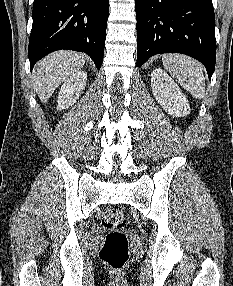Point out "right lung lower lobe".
I'll use <instances>...</instances> for the list:
<instances>
[{"mask_svg": "<svg viewBox=\"0 0 233 286\" xmlns=\"http://www.w3.org/2000/svg\"><path fill=\"white\" fill-rule=\"evenodd\" d=\"M108 12L109 0H34L30 70L38 60L61 49L88 54L100 69Z\"/></svg>", "mask_w": 233, "mask_h": 286, "instance_id": "1", "label": "right lung lower lobe"}]
</instances>
